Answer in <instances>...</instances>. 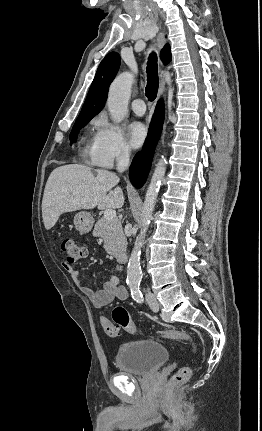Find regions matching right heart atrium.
<instances>
[{
  "instance_id": "1",
  "label": "right heart atrium",
  "mask_w": 262,
  "mask_h": 431,
  "mask_svg": "<svg viewBox=\"0 0 262 431\" xmlns=\"http://www.w3.org/2000/svg\"><path fill=\"white\" fill-rule=\"evenodd\" d=\"M96 129L93 141L95 163L111 166L116 160H125L130 156V148L118 126L101 116L96 122Z\"/></svg>"
}]
</instances>
